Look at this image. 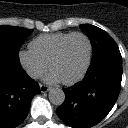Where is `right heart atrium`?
<instances>
[{"instance_id":"obj_1","label":"right heart atrium","mask_w":128,"mask_h":128,"mask_svg":"<svg viewBox=\"0 0 128 128\" xmlns=\"http://www.w3.org/2000/svg\"><path fill=\"white\" fill-rule=\"evenodd\" d=\"M18 59L21 67L33 79L41 77L48 69L46 64L31 49L20 50Z\"/></svg>"}]
</instances>
